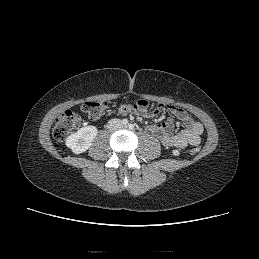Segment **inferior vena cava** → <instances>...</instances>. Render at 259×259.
I'll list each match as a JSON object with an SVG mask.
<instances>
[{"instance_id":"602c4592","label":"inferior vena cava","mask_w":259,"mask_h":259,"mask_svg":"<svg viewBox=\"0 0 259 259\" xmlns=\"http://www.w3.org/2000/svg\"><path fill=\"white\" fill-rule=\"evenodd\" d=\"M122 126H123L122 122L119 119H112L108 122L109 130H115V129L121 128Z\"/></svg>"}]
</instances>
